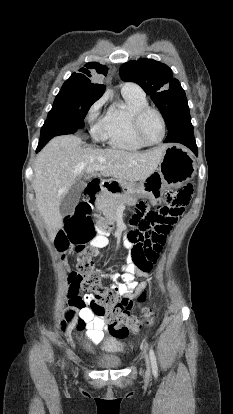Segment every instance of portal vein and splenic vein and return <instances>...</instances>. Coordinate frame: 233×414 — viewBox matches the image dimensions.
<instances>
[{"instance_id":"18ae733b","label":"portal vein and splenic vein","mask_w":233,"mask_h":414,"mask_svg":"<svg viewBox=\"0 0 233 414\" xmlns=\"http://www.w3.org/2000/svg\"><path fill=\"white\" fill-rule=\"evenodd\" d=\"M104 168L103 167H101V166H98V167H95V168H93V170H95V171H102Z\"/></svg>"}]
</instances>
